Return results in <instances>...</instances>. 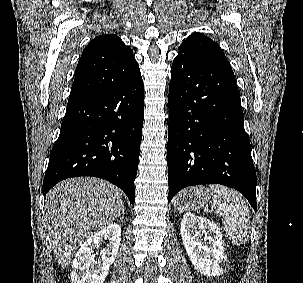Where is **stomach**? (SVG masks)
I'll list each match as a JSON object with an SVG mask.
<instances>
[{
    "instance_id": "stomach-1",
    "label": "stomach",
    "mask_w": 303,
    "mask_h": 283,
    "mask_svg": "<svg viewBox=\"0 0 303 283\" xmlns=\"http://www.w3.org/2000/svg\"><path fill=\"white\" fill-rule=\"evenodd\" d=\"M212 194L204 187H190L178 194L174 207L177 211H196L211 203Z\"/></svg>"
}]
</instances>
